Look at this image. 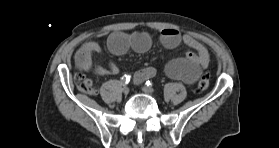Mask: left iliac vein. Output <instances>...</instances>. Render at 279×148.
<instances>
[{"label": "left iliac vein", "mask_w": 279, "mask_h": 148, "mask_svg": "<svg viewBox=\"0 0 279 148\" xmlns=\"http://www.w3.org/2000/svg\"><path fill=\"white\" fill-rule=\"evenodd\" d=\"M142 91L146 94H153L154 93V90L151 87H146V86L142 88Z\"/></svg>", "instance_id": "obj_1"}]
</instances>
